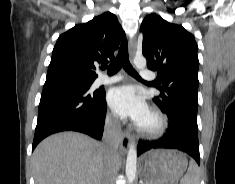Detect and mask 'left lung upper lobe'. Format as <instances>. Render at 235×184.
Listing matches in <instances>:
<instances>
[{"instance_id": "1", "label": "left lung upper lobe", "mask_w": 235, "mask_h": 184, "mask_svg": "<svg viewBox=\"0 0 235 184\" xmlns=\"http://www.w3.org/2000/svg\"><path fill=\"white\" fill-rule=\"evenodd\" d=\"M141 32L147 66L157 71L160 95L153 101L162 111L184 109L197 115L199 60L194 36L156 14L143 20Z\"/></svg>"}]
</instances>
